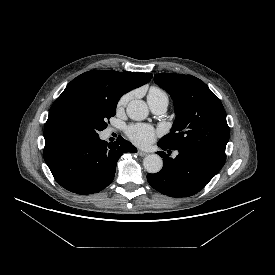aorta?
I'll return each mask as SVG.
<instances>
[{
    "mask_svg": "<svg viewBox=\"0 0 275 275\" xmlns=\"http://www.w3.org/2000/svg\"><path fill=\"white\" fill-rule=\"evenodd\" d=\"M127 115L135 121L144 120L149 113L148 106L143 100H132L126 108ZM144 168L149 173H158L163 167V160L157 154H149L143 160Z\"/></svg>",
    "mask_w": 275,
    "mask_h": 275,
    "instance_id": "1",
    "label": "aorta"
}]
</instances>
